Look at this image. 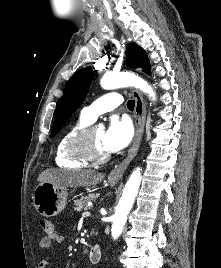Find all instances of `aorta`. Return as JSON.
<instances>
[{"mask_svg":"<svg viewBox=\"0 0 221 268\" xmlns=\"http://www.w3.org/2000/svg\"><path fill=\"white\" fill-rule=\"evenodd\" d=\"M100 85L106 90L134 86L144 93H147L152 100L156 99V94L152 87L145 80L132 73H108L102 77ZM141 178V168L138 167L132 172L125 185L122 197L116 207V211L112 219L111 234L114 239H117L122 233L127 216L132 208L135 197L137 196Z\"/></svg>","mask_w":221,"mask_h":268,"instance_id":"1","label":"aorta"}]
</instances>
